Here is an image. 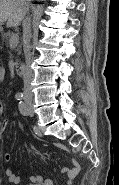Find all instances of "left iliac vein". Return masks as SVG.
Segmentation results:
<instances>
[{
    "instance_id": "left-iliac-vein-1",
    "label": "left iliac vein",
    "mask_w": 119,
    "mask_h": 185,
    "mask_svg": "<svg viewBox=\"0 0 119 185\" xmlns=\"http://www.w3.org/2000/svg\"><path fill=\"white\" fill-rule=\"evenodd\" d=\"M27 115L33 116L34 115V110L31 102L27 103Z\"/></svg>"
}]
</instances>
